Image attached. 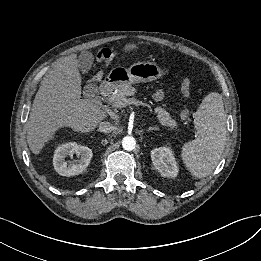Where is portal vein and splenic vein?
Returning <instances> with one entry per match:
<instances>
[{
    "instance_id": "18ae733b",
    "label": "portal vein and splenic vein",
    "mask_w": 261,
    "mask_h": 261,
    "mask_svg": "<svg viewBox=\"0 0 261 261\" xmlns=\"http://www.w3.org/2000/svg\"><path fill=\"white\" fill-rule=\"evenodd\" d=\"M140 104H141V102L131 98V99H128V100H124L123 102L120 101V102L116 103L115 105H113V107L122 108V107H125L127 105L139 106Z\"/></svg>"
}]
</instances>
